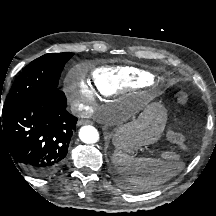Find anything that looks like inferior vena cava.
Here are the masks:
<instances>
[{"instance_id": "1", "label": "inferior vena cava", "mask_w": 216, "mask_h": 216, "mask_svg": "<svg viewBox=\"0 0 216 216\" xmlns=\"http://www.w3.org/2000/svg\"><path fill=\"white\" fill-rule=\"evenodd\" d=\"M82 109H83V105L78 101L73 102L71 105L72 112L77 115H82V112H81Z\"/></svg>"}]
</instances>
